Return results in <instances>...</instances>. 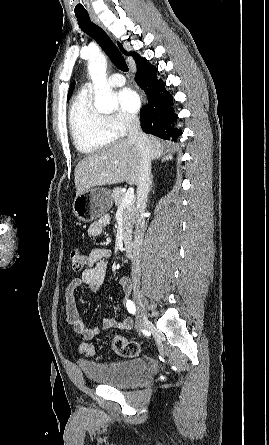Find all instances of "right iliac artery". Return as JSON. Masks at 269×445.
<instances>
[{
  "instance_id": "obj_1",
  "label": "right iliac artery",
  "mask_w": 269,
  "mask_h": 445,
  "mask_svg": "<svg viewBox=\"0 0 269 445\" xmlns=\"http://www.w3.org/2000/svg\"><path fill=\"white\" fill-rule=\"evenodd\" d=\"M126 306H127L128 311L134 315L136 312L134 303L131 300H127Z\"/></svg>"
}]
</instances>
